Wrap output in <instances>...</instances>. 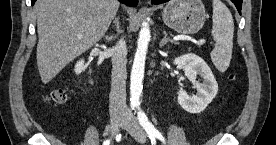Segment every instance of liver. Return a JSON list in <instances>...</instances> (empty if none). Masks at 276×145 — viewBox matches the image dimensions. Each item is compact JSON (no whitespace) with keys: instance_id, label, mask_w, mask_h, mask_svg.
I'll return each instance as SVG.
<instances>
[{"instance_id":"liver-1","label":"liver","mask_w":276,"mask_h":145,"mask_svg":"<svg viewBox=\"0 0 276 145\" xmlns=\"http://www.w3.org/2000/svg\"><path fill=\"white\" fill-rule=\"evenodd\" d=\"M118 7L116 0L36 1V58L44 84L104 36Z\"/></svg>"}]
</instances>
